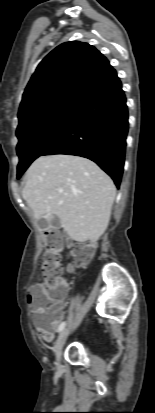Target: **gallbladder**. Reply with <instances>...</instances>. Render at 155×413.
<instances>
[{"instance_id":"bac80fb5","label":"gallbladder","mask_w":155,"mask_h":413,"mask_svg":"<svg viewBox=\"0 0 155 413\" xmlns=\"http://www.w3.org/2000/svg\"><path fill=\"white\" fill-rule=\"evenodd\" d=\"M39 226L43 229H50V228H55L59 226V220H53L50 222H47L45 220H40L39 221Z\"/></svg>"}]
</instances>
